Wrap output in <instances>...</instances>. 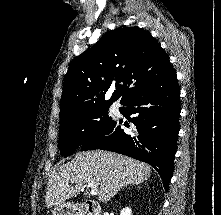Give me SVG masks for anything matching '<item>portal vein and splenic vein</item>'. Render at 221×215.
Masks as SVG:
<instances>
[{
    "label": "portal vein and splenic vein",
    "mask_w": 221,
    "mask_h": 215,
    "mask_svg": "<svg viewBox=\"0 0 221 215\" xmlns=\"http://www.w3.org/2000/svg\"><path fill=\"white\" fill-rule=\"evenodd\" d=\"M87 187L91 188V190H90L91 195H97L98 191L96 189L92 188L90 185H87Z\"/></svg>",
    "instance_id": "1"
}]
</instances>
